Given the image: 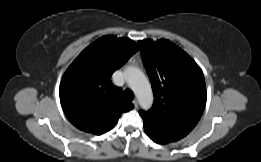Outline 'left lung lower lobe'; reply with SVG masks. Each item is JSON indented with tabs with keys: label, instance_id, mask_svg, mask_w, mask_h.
Segmentation results:
<instances>
[{
	"label": "left lung lower lobe",
	"instance_id": "0a47b994",
	"mask_svg": "<svg viewBox=\"0 0 261 162\" xmlns=\"http://www.w3.org/2000/svg\"><path fill=\"white\" fill-rule=\"evenodd\" d=\"M146 132V131H145ZM146 134L149 136V138L151 139V140H153L155 143H158V144H166V143H168V142H165V141H162V140H160V139H158V138H155V137H153L152 135H150L148 132H146Z\"/></svg>",
	"mask_w": 261,
	"mask_h": 162
}]
</instances>
